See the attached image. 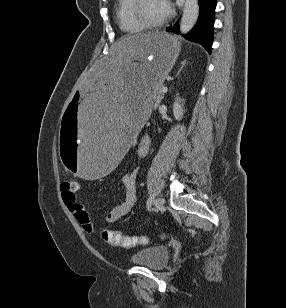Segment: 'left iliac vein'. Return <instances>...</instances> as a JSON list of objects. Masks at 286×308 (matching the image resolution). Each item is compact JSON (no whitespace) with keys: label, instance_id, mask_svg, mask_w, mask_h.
Masks as SVG:
<instances>
[{"label":"left iliac vein","instance_id":"4c4485c4","mask_svg":"<svg viewBox=\"0 0 286 308\" xmlns=\"http://www.w3.org/2000/svg\"><path fill=\"white\" fill-rule=\"evenodd\" d=\"M165 203V200L162 198V197H158L155 201V204L158 206V207H163Z\"/></svg>","mask_w":286,"mask_h":308}]
</instances>
